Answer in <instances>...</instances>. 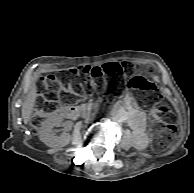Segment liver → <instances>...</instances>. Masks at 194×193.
I'll use <instances>...</instances> for the list:
<instances>
[{
	"mask_svg": "<svg viewBox=\"0 0 194 193\" xmlns=\"http://www.w3.org/2000/svg\"><path fill=\"white\" fill-rule=\"evenodd\" d=\"M37 98V90L33 86L30 90L25 102L22 105V118L25 124H28L31 120V115Z\"/></svg>",
	"mask_w": 194,
	"mask_h": 193,
	"instance_id": "1",
	"label": "liver"
}]
</instances>
